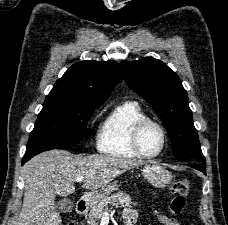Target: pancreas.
Instances as JSON below:
<instances>
[{
    "instance_id": "1",
    "label": "pancreas",
    "mask_w": 228,
    "mask_h": 225,
    "mask_svg": "<svg viewBox=\"0 0 228 225\" xmlns=\"http://www.w3.org/2000/svg\"><path fill=\"white\" fill-rule=\"evenodd\" d=\"M132 201L133 199L123 191L101 199L96 207H91L89 215H86L88 225H99V221L103 217V213H107L109 205L111 207H131V205L136 207L137 203H132Z\"/></svg>"
}]
</instances>
